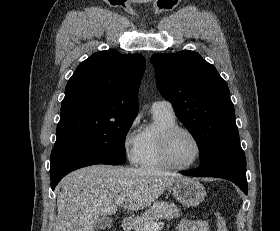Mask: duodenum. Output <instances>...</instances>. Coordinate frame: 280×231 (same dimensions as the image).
Instances as JSON below:
<instances>
[{
	"mask_svg": "<svg viewBox=\"0 0 280 231\" xmlns=\"http://www.w3.org/2000/svg\"><path fill=\"white\" fill-rule=\"evenodd\" d=\"M133 218L130 216H126L121 221V227L123 231H129L132 226Z\"/></svg>",
	"mask_w": 280,
	"mask_h": 231,
	"instance_id": "duodenum-1",
	"label": "duodenum"
}]
</instances>
